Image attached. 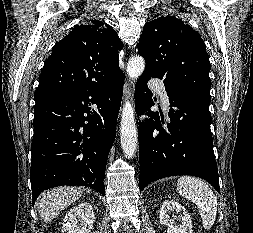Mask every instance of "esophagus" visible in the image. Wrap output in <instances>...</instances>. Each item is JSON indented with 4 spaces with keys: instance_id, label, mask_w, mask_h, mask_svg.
Returning <instances> with one entry per match:
<instances>
[{
    "instance_id": "obj_1",
    "label": "esophagus",
    "mask_w": 253,
    "mask_h": 233,
    "mask_svg": "<svg viewBox=\"0 0 253 233\" xmlns=\"http://www.w3.org/2000/svg\"><path fill=\"white\" fill-rule=\"evenodd\" d=\"M126 96H130V81L127 79L124 85Z\"/></svg>"
}]
</instances>
